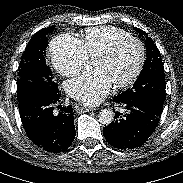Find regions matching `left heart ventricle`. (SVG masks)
Wrapping results in <instances>:
<instances>
[{"instance_id": "1", "label": "left heart ventricle", "mask_w": 183, "mask_h": 183, "mask_svg": "<svg viewBox=\"0 0 183 183\" xmlns=\"http://www.w3.org/2000/svg\"><path fill=\"white\" fill-rule=\"evenodd\" d=\"M140 58V48L136 43L123 45L112 57L96 58L93 69L103 71L112 84L127 79L135 70Z\"/></svg>"}]
</instances>
